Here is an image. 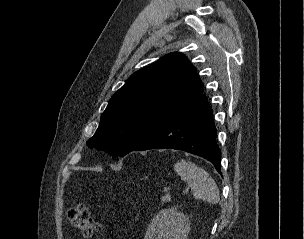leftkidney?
Wrapping results in <instances>:
<instances>
[{
    "label": "left kidney",
    "instance_id": "left-kidney-1",
    "mask_svg": "<svg viewBox=\"0 0 304 239\" xmlns=\"http://www.w3.org/2000/svg\"><path fill=\"white\" fill-rule=\"evenodd\" d=\"M189 231V217L176 208H168L154 216L144 239H187Z\"/></svg>",
    "mask_w": 304,
    "mask_h": 239
}]
</instances>
